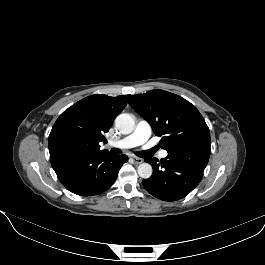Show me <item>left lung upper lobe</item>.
Masks as SVG:
<instances>
[{"label":"left lung upper lobe","mask_w":265,"mask_h":265,"mask_svg":"<svg viewBox=\"0 0 265 265\" xmlns=\"http://www.w3.org/2000/svg\"><path fill=\"white\" fill-rule=\"evenodd\" d=\"M148 121L158 144L167 152L202 142H210V131L197 108L184 98L164 91L151 90L131 96L128 101Z\"/></svg>","instance_id":"1"}]
</instances>
